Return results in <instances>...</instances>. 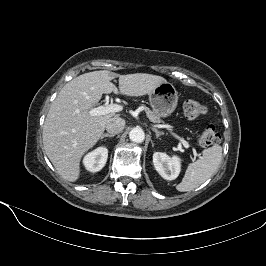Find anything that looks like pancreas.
<instances>
[{"instance_id": "cf45deb5", "label": "pancreas", "mask_w": 266, "mask_h": 266, "mask_svg": "<svg viewBox=\"0 0 266 266\" xmlns=\"http://www.w3.org/2000/svg\"><path fill=\"white\" fill-rule=\"evenodd\" d=\"M144 110L146 112L147 117L149 118L150 121L152 122H160V118L154 113L152 112L148 107L143 106Z\"/></svg>"}]
</instances>
